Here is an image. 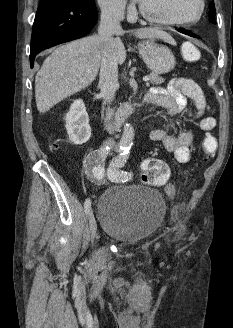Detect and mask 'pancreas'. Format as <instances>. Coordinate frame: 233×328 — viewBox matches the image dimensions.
I'll use <instances>...</instances> for the list:
<instances>
[{"mask_svg":"<svg viewBox=\"0 0 233 328\" xmlns=\"http://www.w3.org/2000/svg\"><path fill=\"white\" fill-rule=\"evenodd\" d=\"M148 77H149L150 83L153 85H159V84L164 83V79L161 76H159L157 73L152 72L148 75Z\"/></svg>","mask_w":233,"mask_h":328,"instance_id":"1","label":"pancreas"}]
</instances>
